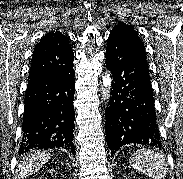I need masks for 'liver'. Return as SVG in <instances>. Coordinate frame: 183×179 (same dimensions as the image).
Here are the masks:
<instances>
[{
	"label": "liver",
	"mask_w": 183,
	"mask_h": 179,
	"mask_svg": "<svg viewBox=\"0 0 183 179\" xmlns=\"http://www.w3.org/2000/svg\"><path fill=\"white\" fill-rule=\"evenodd\" d=\"M50 158L47 152H32L24 156L19 164V174L22 178L37 172Z\"/></svg>",
	"instance_id": "obj_1"
}]
</instances>
